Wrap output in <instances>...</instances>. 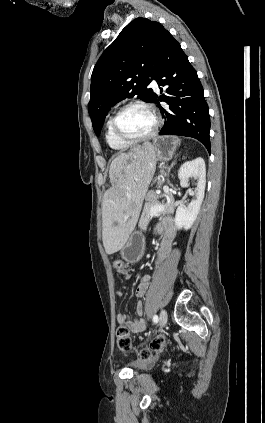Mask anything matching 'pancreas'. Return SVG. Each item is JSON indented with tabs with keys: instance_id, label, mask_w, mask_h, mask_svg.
<instances>
[{
	"instance_id": "pancreas-1",
	"label": "pancreas",
	"mask_w": 265,
	"mask_h": 423,
	"mask_svg": "<svg viewBox=\"0 0 265 423\" xmlns=\"http://www.w3.org/2000/svg\"><path fill=\"white\" fill-rule=\"evenodd\" d=\"M168 204L164 208L163 211L152 214L150 212V208L155 205H162L164 202L159 201V196L156 195L154 192H149L146 196V202L144 204L143 212L139 221V228L141 230H146L150 220L153 216H163L166 214H173L174 213V197L172 193L168 194Z\"/></svg>"
}]
</instances>
